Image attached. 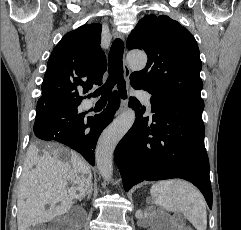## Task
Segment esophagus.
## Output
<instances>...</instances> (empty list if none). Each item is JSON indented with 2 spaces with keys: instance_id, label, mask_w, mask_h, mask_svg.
Returning a JSON list of instances; mask_svg holds the SVG:
<instances>
[{
  "instance_id": "1",
  "label": "esophagus",
  "mask_w": 241,
  "mask_h": 230,
  "mask_svg": "<svg viewBox=\"0 0 241 230\" xmlns=\"http://www.w3.org/2000/svg\"><path fill=\"white\" fill-rule=\"evenodd\" d=\"M112 36H113V38H122V35L119 34L117 31H114ZM123 69H124V79H125L126 83L128 84L131 71H130V68L127 65L125 59L123 61ZM127 107H128V101L122 100L116 115L118 116V115L122 114L127 109Z\"/></svg>"
}]
</instances>
